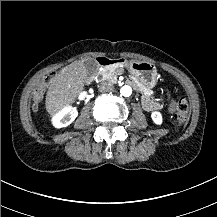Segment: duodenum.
Wrapping results in <instances>:
<instances>
[{"instance_id":"410a0bca","label":"duodenum","mask_w":217,"mask_h":217,"mask_svg":"<svg viewBox=\"0 0 217 217\" xmlns=\"http://www.w3.org/2000/svg\"><path fill=\"white\" fill-rule=\"evenodd\" d=\"M96 62L98 64V66H101V67H106V66L116 67V66L121 64V60L112 59V58H108V57H98L96 59Z\"/></svg>"}]
</instances>
